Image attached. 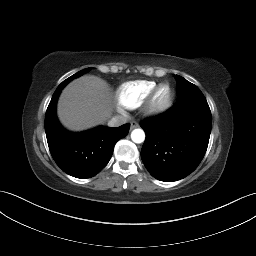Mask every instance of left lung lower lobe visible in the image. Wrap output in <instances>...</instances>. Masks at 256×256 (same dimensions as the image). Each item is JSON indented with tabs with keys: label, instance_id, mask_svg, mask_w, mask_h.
<instances>
[{
	"label": "left lung lower lobe",
	"instance_id": "left-lung-lower-lobe-1",
	"mask_svg": "<svg viewBox=\"0 0 256 256\" xmlns=\"http://www.w3.org/2000/svg\"><path fill=\"white\" fill-rule=\"evenodd\" d=\"M141 127L146 133L141 150L145 167L158 180L177 181L192 173L205 155L211 111L203 100L176 104Z\"/></svg>",
	"mask_w": 256,
	"mask_h": 256
}]
</instances>
